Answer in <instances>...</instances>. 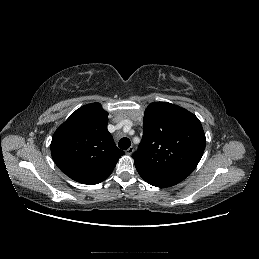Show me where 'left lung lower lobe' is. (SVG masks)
<instances>
[{"instance_id":"obj_1","label":"left lung lower lobe","mask_w":259,"mask_h":259,"mask_svg":"<svg viewBox=\"0 0 259 259\" xmlns=\"http://www.w3.org/2000/svg\"><path fill=\"white\" fill-rule=\"evenodd\" d=\"M135 166L139 175L143 178V180H145L150 185H153L156 187H170L181 182L180 180H177L175 178H171V177L159 174L157 172H154L151 169L147 168L146 166L137 165V164H135Z\"/></svg>"}]
</instances>
